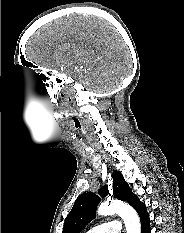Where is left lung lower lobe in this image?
I'll return each mask as SVG.
<instances>
[{
	"mask_svg": "<svg viewBox=\"0 0 184 233\" xmlns=\"http://www.w3.org/2000/svg\"><path fill=\"white\" fill-rule=\"evenodd\" d=\"M138 212L141 221V233H150L149 215L146 210L145 204L139 201V199L132 205Z\"/></svg>",
	"mask_w": 184,
	"mask_h": 233,
	"instance_id": "obj_1",
	"label": "left lung lower lobe"
}]
</instances>
